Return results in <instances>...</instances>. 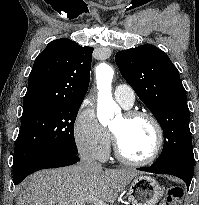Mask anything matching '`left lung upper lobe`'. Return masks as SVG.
<instances>
[{"label": "left lung upper lobe", "mask_w": 199, "mask_h": 205, "mask_svg": "<svg viewBox=\"0 0 199 205\" xmlns=\"http://www.w3.org/2000/svg\"><path fill=\"white\" fill-rule=\"evenodd\" d=\"M115 61L163 129L165 144L153 165L180 164L194 170L189 108L177 68L163 51L150 44L119 51Z\"/></svg>", "instance_id": "5c2ea615"}]
</instances>
